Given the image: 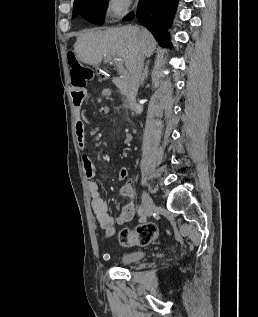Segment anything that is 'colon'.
Masks as SVG:
<instances>
[{
  "instance_id": "5ec220e1",
  "label": "colon",
  "mask_w": 258,
  "mask_h": 317,
  "mask_svg": "<svg viewBox=\"0 0 258 317\" xmlns=\"http://www.w3.org/2000/svg\"><path fill=\"white\" fill-rule=\"evenodd\" d=\"M71 80L74 83L87 85L94 77V71L82 64L73 49L67 52ZM158 235L157 226L152 222L142 223L135 229L124 228L119 232L118 238L122 246H144L153 241Z\"/></svg>"
}]
</instances>
